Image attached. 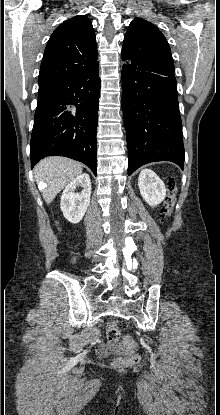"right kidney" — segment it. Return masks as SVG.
Segmentation results:
<instances>
[{
    "label": "right kidney",
    "instance_id": "right-kidney-1",
    "mask_svg": "<svg viewBox=\"0 0 220 415\" xmlns=\"http://www.w3.org/2000/svg\"><path fill=\"white\" fill-rule=\"evenodd\" d=\"M79 186L84 188L80 194L75 193ZM90 196V177L84 173L72 180L62 193L60 207L64 217L73 224L80 222L90 204Z\"/></svg>",
    "mask_w": 220,
    "mask_h": 415
}]
</instances>
